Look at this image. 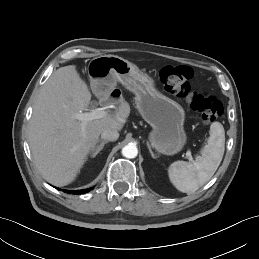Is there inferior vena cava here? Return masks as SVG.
Here are the masks:
<instances>
[{
    "instance_id": "obj_1",
    "label": "inferior vena cava",
    "mask_w": 259,
    "mask_h": 259,
    "mask_svg": "<svg viewBox=\"0 0 259 259\" xmlns=\"http://www.w3.org/2000/svg\"><path fill=\"white\" fill-rule=\"evenodd\" d=\"M119 138V133L114 129H106L101 133V139L105 141H116Z\"/></svg>"
}]
</instances>
